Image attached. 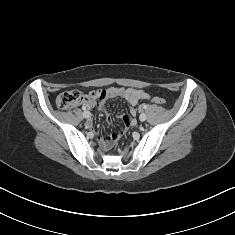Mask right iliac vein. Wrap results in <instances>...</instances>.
Here are the masks:
<instances>
[{"instance_id":"obj_1","label":"right iliac vein","mask_w":235,"mask_h":235,"mask_svg":"<svg viewBox=\"0 0 235 235\" xmlns=\"http://www.w3.org/2000/svg\"><path fill=\"white\" fill-rule=\"evenodd\" d=\"M83 116H84L85 118H89V117H90V112H85V113H83Z\"/></svg>"}]
</instances>
